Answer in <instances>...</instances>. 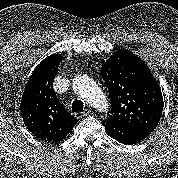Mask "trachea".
Masks as SVG:
<instances>
[{
  "instance_id": "3493384b",
  "label": "trachea",
  "mask_w": 178,
  "mask_h": 178,
  "mask_svg": "<svg viewBox=\"0 0 178 178\" xmlns=\"http://www.w3.org/2000/svg\"><path fill=\"white\" fill-rule=\"evenodd\" d=\"M84 108L83 102L81 100H75L72 103V112H82Z\"/></svg>"
}]
</instances>
